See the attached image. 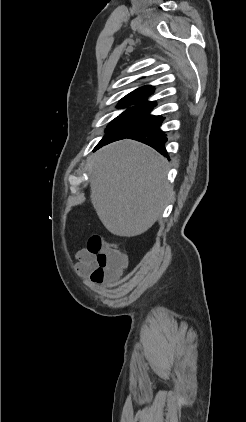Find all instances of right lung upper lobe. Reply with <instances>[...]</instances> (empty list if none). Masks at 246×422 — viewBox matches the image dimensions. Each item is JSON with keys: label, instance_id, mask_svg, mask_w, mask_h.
<instances>
[{"label": "right lung upper lobe", "instance_id": "cb5924a9", "mask_svg": "<svg viewBox=\"0 0 246 422\" xmlns=\"http://www.w3.org/2000/svg\"><path fill=\"white\" fill-rule=\"evenodd\" d=\"M154 91L153 86L145 85L139 87L138 89L134 90L133 92L126 95L118 104V107H128L130 105H135L130 109H152L156 106L155 101H148L147 98L150 96Z\"/></svg>", "mask_w": 246, "mask_h": 422}]
</instances>
